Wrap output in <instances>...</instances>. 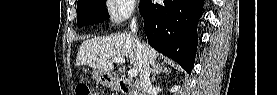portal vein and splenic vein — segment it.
I'll use <instances>...</instances> for the list:
<instances>
[{"label":"portal vein and splenic vein","instance_id":"obj_1","mask_svg":"<svg viewBox=\"0 0 277 95\" xmlns=\"http://www.w3.org/2000/svg\"><path fill=\"white\" fill-rule=\"evenodd\" d=\"M112 62L115 63H125V59L124 58H118V57H113L112 58ZM137 70L136 69H130L128 71V75L130 78H135L137 76Z\"/></svg>","mask_w":277,"mask_h":95}]
</instances>
